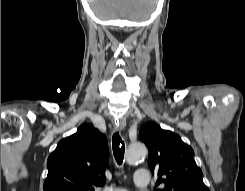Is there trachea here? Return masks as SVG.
Listing matches in <instances>:
<instances>
[{
  "label": "trachea",
  "mask_w": 245,
  "mask_h": 191,
  "mask_svg": "<svg viewBox=\"0 0 245 191\" xmlns=\"http://www.w3.org/2000/svg\"><path fill=\"white\" fill-rule=\"evenodd\" d=\"M112 147L113 154L117 163L120 165L123 162L124 152H125V143L121 138L119 132H115L112 137Z\"/></svg>",
  "instance_id": "1"
}]
</instances>
